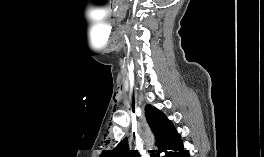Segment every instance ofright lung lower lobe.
<instances>
[{
    "label": "right lung lower lobe",
    "mask_w": 264,
    "mask_h": 157,
    "mask_svg": "<svg viewBox=\"0 0 264 157\" xmlns=\"http://www.w3.org/2000/svg\"><path fill=\"white\" fill-rule=\"evenodd\" d=\"M163 157H190L189 151L184 149L182 140L179 139L171 148H169Z\"/></svg>",
    "instance_id": "98d812e1"
}]
</instances>
